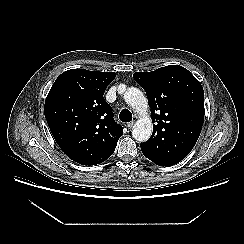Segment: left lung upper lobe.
Instances as JSON below:
<instances>
[{"instance_id":"obj_1","label":"left lung upper lobe","mask_w":244,"mask_h":244,"mask_svg":"<svg viewBox=\"0 0 244 244\" xmlns=\"http://www.w3.org/2000/svg\"><path fill=\"white\" fill-rule=\"evenodd\" d=\"M146 91L153 133L140 144L145 157L159 166L183 160L193 149L204 122V91L184 67L169 65L152 72H135Z\"/></svg>"}]
</instances>
